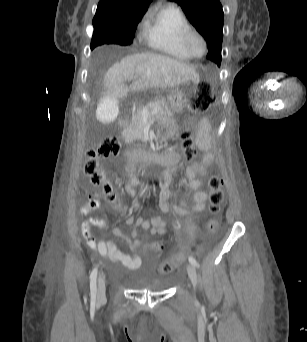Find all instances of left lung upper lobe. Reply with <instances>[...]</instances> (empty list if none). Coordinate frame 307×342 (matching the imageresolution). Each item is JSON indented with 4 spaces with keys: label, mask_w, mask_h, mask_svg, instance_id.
I'll return each instance as SVG.
<instances>
[{
    "label": "left lung upper lobe",
    "mask_w": 307,
    "mask_h": 342,
    "mask_svg": "<svg viewBox=\"0 0 307 342\" xmlns=\"http://www.w3.org/2000/svg\"><path fill=\"white\" fill-rule=\"evenodd\" d=\"M170 1H176L182 7L189 21L207 42L209 49L207 58L220 66L224 17L220 2L218 0Z\"/></svg>",
    "instance_id": "1"
}]
</instances>
